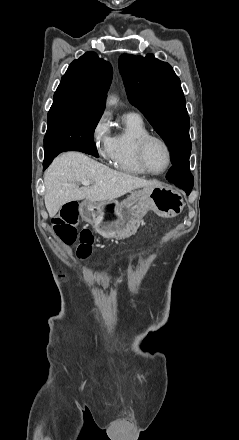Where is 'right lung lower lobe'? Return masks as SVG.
Masks as SVG:
<instances>
[{
  "instance_id": "98d812e1",
  "label": "right lung lower lobe",
  "mask_w": 239,
  "mask_h": 440,
  "mask_svg": "<svg viewBox=\"0 0 239 440\" xmlns=\"http://www.w3.org/2000/svg\"><path fill=\"white\" fill-rule=\"evenodd\" d=\"M64 151H80V152H84V153H87V154L93 155V156H95V157H99L98 152H97V149H96V147H95V144H94V145H88V144H87V145H84V144H73V145H70V146H68V147H66V148H64V149H61V150L56 151V152H54V153H51V154H49V155H45L44 163H43L44 170L50 165V163L52 162V160H53V159H54L59 153L64 152Z\"/></svg>"
}]
</instances>
